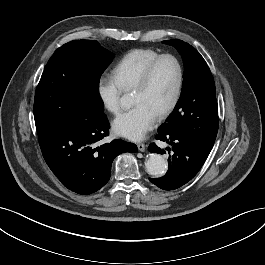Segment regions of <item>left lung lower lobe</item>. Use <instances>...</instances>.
<instances>
[{
    "mask_svg": "<svg viewBox=\"0 0 265 265\" xmlns=\"http://www.w3.org/2000/svg\"><path fill=\"white\" fill-rule=\"evenodd\" d=\"M156 139L171 145L173 155L168 158V171L160 178H149L151 183L163 190L177 189L190 181L201 169L210 151L195 139L176 133H159ZM150 152L165 153L154 143L149 146ZM167 150H170L167 147Z\"/></svg>",
    "mask_w": 265,
    "mask_h": 265,
    "instance_id": "0a47b994",
    "label": "left lung lower lobe"
}]
</instances>
